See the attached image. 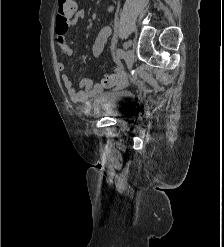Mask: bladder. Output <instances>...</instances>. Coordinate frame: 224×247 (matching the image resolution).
I'll list each match as a JSON object with an SVG mask.
<instances>
[{"label":"bladder","instance_id":"31cf9c89","mask_svg":"<svg viewBox=\"0 0 224 247\" xmlns=\"http://www.w3.org/2000/svg\"><path fill=\"white\" fill-rule=\"evenodd\" d=\"M135 96L128 91H106L95 99L97 113L102 116L123 118L129 115Z\"/></svg>","mask_w":224,"mask_h":247}]
</instances>
